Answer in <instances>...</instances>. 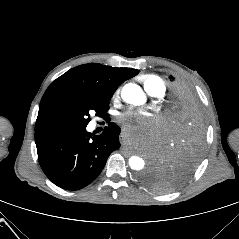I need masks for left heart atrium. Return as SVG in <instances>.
<instances>
[{"instance_id":"obj_1","label":"left heart atrium","mask_w":239,"mask_h":239,"mask_svg":"<svg viewBox=\"0 0 239 239\" xmlns=\"http://www.w3.org/2000/svg\"><path fill=\"white\" fill-rule=\"evenodd\" d=\"M131 117H135L137 122L136 123H129L125 122V128L128 131H134V130H141L145 131L146 133L152 132V129L154 128L153 122L145 118V113L143 112H130L125 120Z\"/></svg>"}]
</instances>
